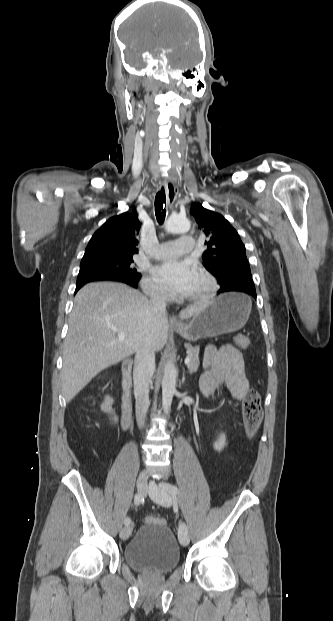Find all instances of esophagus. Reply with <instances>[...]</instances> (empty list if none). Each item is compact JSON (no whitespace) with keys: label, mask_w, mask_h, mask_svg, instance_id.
<instances>
[{"label":"esophagus","mask_w":333,"mask_h":621,"mask_svg":"<svg viewBox=\"0 0 333 621\" xmlns=\"http://www.w3.org/2000/svg\"><path fill=\"white\" fill-rule=\"evenodd\" d=\"M165 191H166V199L167 204L172 206L175 202L177 193H178V181L174 179H169L165 181ZM181 322L176 319H171V325L181 326Z\"/></svg>","instance_id":"esophagus-1"}]
</instances>
